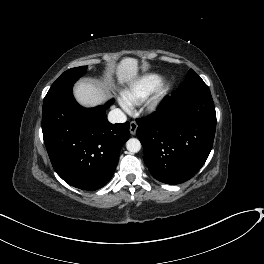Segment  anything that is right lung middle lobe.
Returning a JSON list of instances; mask_svg holds the SVG:
<instances>
[{"label": "right lung middle lobe", "mask_w": 264, "mask_h": 264, "mask_svg": "<svg viewBox=\"0 0 264 264\" xmlns=\"http://www.w3.org/2000/svg\"><path fill=\"white\" fill-rule=\"evenodd\" d=\"M87 66H80L65 71L50 87L44 101L57 96L59 93L71 88L74 82L86 73Z\"/></svg>", "instance_id": "right-lung-middle-lobe-1"}]
</instances>
